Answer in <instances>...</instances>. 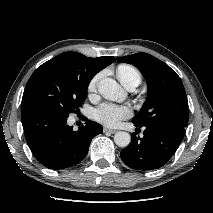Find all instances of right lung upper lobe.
Here are the masks:
<instances>
[{"instance_id":"right-lung-upper-lobe-1","label":"right lung upper lobe","mask_w":213,"mask_h":213,"mask_svg":"<svg viewBox=\"0 0 213 213\" xmlns=\"http://www.w3.org/2000/svg\"><path fill=\"white\" fill-rule=\"evenodd\" d=\"M54 59L78 66L92 77L115 61L112 56L91 58L77 52H64Z\"/></svg>"}]
</instances>
